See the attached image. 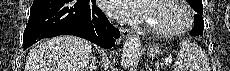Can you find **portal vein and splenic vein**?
Returning a JSON list of instances; mask_svg holds the SVG:
<instances>
[{
  "label": "portal vein and splenic vein",
  "mask_w": 230,
  "mask_h": 71,
  "mask_svg": "<svg viewBox=\"0 0 230 71\" xmlns=\"http://www.w3.org/2000/svg\"><path fill=\"white\" fill-rule=\"evenodd\" d=\"M167 62H168V63H171V60H168Z\"/></svg>",
  "instance_id": "18ae733b"
}]
</instances>
